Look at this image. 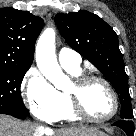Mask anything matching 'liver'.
Instances as JSON below:
<instances>
[{
	"instance_id": "6515ba94",
	"label": "liver",
	"mask_w": 136,
	"mask_h": 136,
	"mask_svg": "<svg viewBox=\"0 0 136 136\" xmlns=\"http://www.w3.org/2000/svg\"><path fill=\"white\" fill-rule=\"evenodd\" d=\"M98 132H100L98 128L72 127L60 131L58 136H92ZM53 134L54 131L50 128L0 114V136H53Z\"/></svg>"
}]
</instances>
